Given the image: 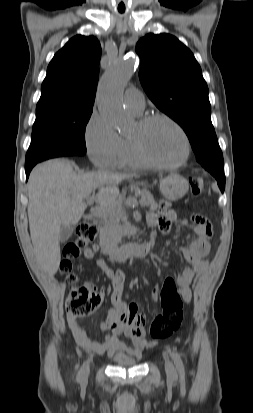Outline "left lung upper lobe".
I'll use <instances>...</instances> for the list:
<instances>
[{"label": "left lung upper lobe", "instance_id": "left-lung-upper-lobe-1", "mask_svg": "<svg viewBox=\"0 0 253 413\" xmlns=\"http://www.w3.org/2000/svg\"><path fill=\"white\" fill-rule=\"evenodd\" d=\"M140 82L152 102L187 134L197 161L224 169L211 122L208 87L192 52L169 34H148L136 45Z\"/></svg>", "mask_w": 253, "mask_h": 413}]
</instances>
